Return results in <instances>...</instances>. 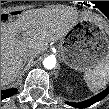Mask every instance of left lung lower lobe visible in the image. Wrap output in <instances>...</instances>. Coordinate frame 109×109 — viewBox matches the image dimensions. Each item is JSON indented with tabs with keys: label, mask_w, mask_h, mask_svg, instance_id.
<instances>
[{
	"label": "left lung lower lobe",
	"mask_w": 109,
	"mask_h": 109,
	"mask_svg": "<svg viewBox=\"0 0 109 109\" xmlns=\"http://www.w3.org/2000/svg\"><path fill=\"white\" fill-rule=\"evenodd\" d=\"M109 92V89H106L104 90L103 92H101L100 94L94 96L93 98H91L90 100H87L81 104H76L77 107H80V108H84V107H88V106H91L92 104L102 100ZM72 105V104H70Z\"/></svg>",
	"instance_id": "0a47b994"
}]
</instances>
